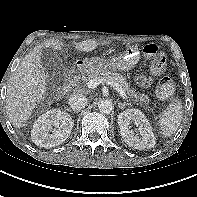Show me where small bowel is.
Here are the masks:
<instances>
[{"label": "small bowel", "mask_w": 197, "mask_h": 197, "mask_svg": "<svg viewBox=\"0 0 197 197\" xmlns=\"http://www.w3.org/2000/svg\"><path fill=\"white\" fill-rule=\"evenodd\" d=\"M138 83L142 87H148L151 84V78L147 76H141L138 79Z\"/></svg>", "instance_id": "obj_1"}]
</instances>
